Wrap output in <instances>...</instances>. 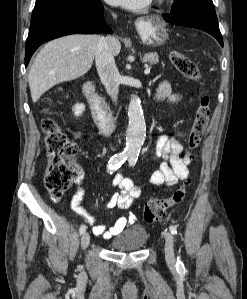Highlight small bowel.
<instances>
[{
    "instance_id": "small-bowel-1",
    "label": "small bowel",
    "mask_w": 247,
    "mask_h": 299,
    "mask_svg": "<svg viewBox=\"0 0 247 299\" xmlns=\"http://www.w3.org/2000/svg\"><path fill=\"white\" fill-rule=\"evenodd\" d=\"M179 94H173L168 81L162 80L154 95L155 103L175 104L180 100ZM156 154L162 158L158 169H156L151 177L150 183L155 186L166 185L173 186L178 181L187 179L189 170L188 166L191 162L188 151L180 144V142L167 135H160L156 142ZM82 175L77 178V191L72 197L71 208L80 216H82L89 224L93 226L95 235L102 238H110L118 235L128 225L132 224L135 218L131 215L120 217L113 225L96 224L97 220L92 216L81 203L84 197V190L81 187ZM111 185L116 187V192L107 201L106 207H117L120 209H129L133 202L141 196V187L137 185L130 177L117 173Z\"/></svg>"
}]
</instances>
